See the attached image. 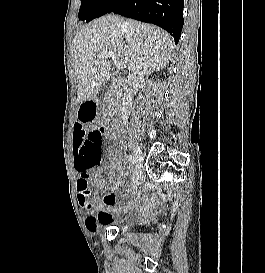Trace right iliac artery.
<instances>
[{
	"mask_svg": "<svg viewBox=\"0 0 265 273\" xmlns=\"http://www.w3.org/2000/svg\"><path fill=\"white\" fill-rule=\"evenodd\" d=\"M126 158H127V160H128L130 163H132V164L136 163V159H135L134 156H132V155H127Z\"/></svg>",
	"mask_w": 265,
	"mask_h": 273,
	"instance_id": "right-iliac-artery-1",
	"label": "right iliac artery"
}]
</instances>
